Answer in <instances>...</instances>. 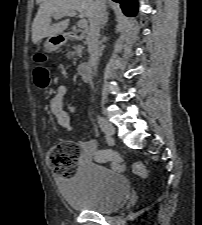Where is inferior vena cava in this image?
Here are the masks:
<instances>
[{"mask_svg": "<svg viewBox=\"0 0 202 225\" xmlns=\"http://www.w3.org/2000/svg\"><path fill=\"white\" fill-rule=\"evenodd\" d=\"M105 11L106 8L104 1L96 0L95 10L90 18V27L87 34V45H88V52L90 55L89 63L95 72L97 70V65L99 61L98 39L100 27L105 18L106 14Z\"/></svg>", "mask_w": 202, "mask_h": 225, "instance_id": "inferior-vena-cava-1", "label": "inferior vena cava"}]
</instances>
